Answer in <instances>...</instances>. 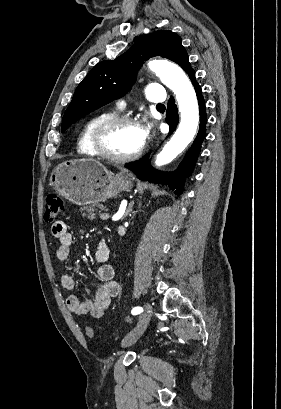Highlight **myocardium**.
Instances as JSON below:
<instances>
[{
  "instance_id": "myocardium-1",
  "label": "myocardium",
  "mask_w": 281,
  "mask_h": 409,
  "mask_svg": "<svg viewBox=\"0 0 281 409\" xmlns=\"http://www.w3.org/2000/svg\"><path fill=\"white\" fill-rule=\"evenodd\" d=\"M119 124H126L137 127L141 129L140 124L137 120L124 115H114L105 120H103L97 127L95 132V147L99 155L109 161L116 162V163H125L130 162L142 155L145 149V141H143L142 145L137 149L135 152L124 155V156H117L111 154L106 146H105V137L108 131Z\"/></svg>"
}]
</instances>
